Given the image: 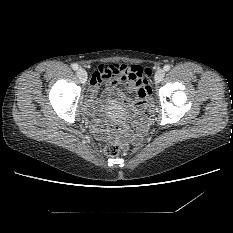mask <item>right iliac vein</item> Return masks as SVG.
<instances>
[{
  "label": "right iliac vein",
  "mask_w": 233,
  "mask_h": 233,
  "mask_svg": "<svg viewBox=\"0 0 233 233\" xmlns=\"http://www.w3.org/2000/svg\"><path fill=\"white\" fill-rule=\"evenodd\" d=\"M77 76L82 83L87 81V72L83 68L78 69Z\"/></svg>",
  "instance_id": "1"
}]
</instances>
